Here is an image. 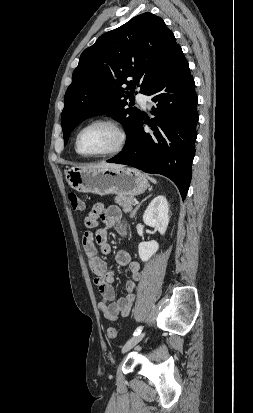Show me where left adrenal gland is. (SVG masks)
<instances>
[{
	"label": "left adrenal gland",
	"mask_w": 253,
	"mask_h": 413,
	"mask_svg": "<svg viewBox=\"0 0 253 413\" xmlns=\"http://www.w3.org/2000/svg\"><path fill=\"white\" fill-rule=\"evenodd\" d=\"M150 196H151V195L147 196L145 199H143V200L136 206L135 210L133 211V215H132V216H135V214H136L137 210L140 208L141 204H142L146 199H148Z\"/></svg>",
	"instance_id": "left-adrenal-gland-1"
}]
</instances>
